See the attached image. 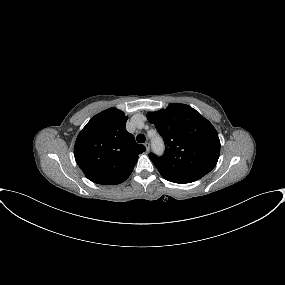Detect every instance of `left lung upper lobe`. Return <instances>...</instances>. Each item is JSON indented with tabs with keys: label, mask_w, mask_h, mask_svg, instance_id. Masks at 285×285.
<instances>
[{
	"label": "left lung upper lobe",
	"mask_w": 285,
	"mask_h": 285,
	"mask_svg": "<svg viewBox=\"0 0 285 285\" xmlns=\"http://www.w3.org/2000/svg\"><path fill=\"white\" fill-rule=\"evenodd\" d=\"M165 141V154L149 158L166 180L196 181L216 165L220 140L212 124L192 107L171 103L147 115Z\"/></svg>",
	"instance_id": "1"
}]
</instances>
